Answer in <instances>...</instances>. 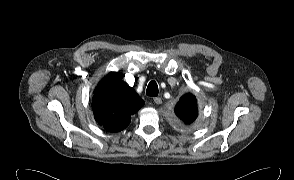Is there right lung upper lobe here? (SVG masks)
Listing matches in <instances>:
<instances>
[{
  "instance_id": "cb5924a9",
  "label": "right lung upper lobe",
  "mask_w": 294,
  "mask_h": 180,
  "mask_svg": "<svg viewBox=\"0 0 294 180\" xmlns=\"http://www.w3.org/2000/svg\"><path fill=\"white\" fill-rule=\"evenodd\" d=\"M144 104L134 89L122 81L119 73H109L96 87L92 108L96 121L107 131L126 128L131 115Z\"/></svg>"
}]
</instances>
